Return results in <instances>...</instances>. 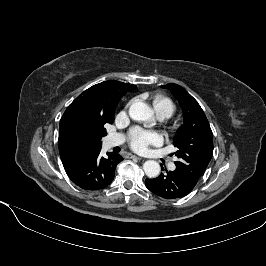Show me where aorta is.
I'll return each instance as SVG.
<instances>
[{"label": "aorta", "mask_w": 266, "mask_h": 266, "mask_svg": "<svg viewBox=\"0 0 266 266\" xmlns=\"http://www.w3.org/2000/svg\"><path fill=\"white\" fill-rule=\"evenodd\" d=\"M129 115L136 121H149L152 119L153 111L144 102H135L129 108ZM143 170L149 178H155L160 174V165L154 160H148L143 164Z\"/></svg>", "instance_id": "aorta-1"}]
</instances>
